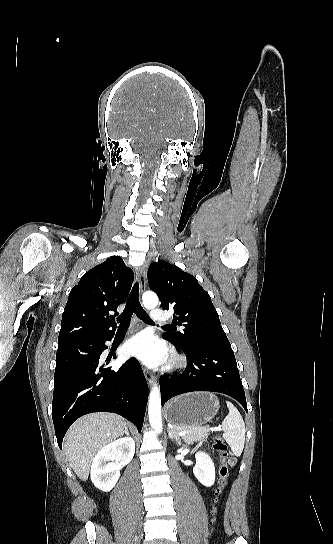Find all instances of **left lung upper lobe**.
<instances>
[{
    "label": "left lung upper lobe",
    "instance_id": "1",
    "mask_svg": "<svg viewBox=\"0 0 333 544\" xmlns=\"http://www.w3.org/2000/svg\"><path fill=\"white\" fill-rule=\"evenodd\" d=\"M148 280L161 307H173V320L184 328L182 332L163 333L164 339L182 351L206 344L231 347L209 294L193 275L158 260L150 265Z\"/></svg>",
    "mask_w": 333,
    "mask_h": 544
}]
</instances>
